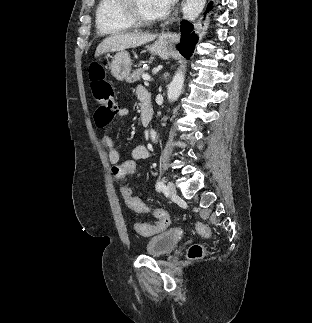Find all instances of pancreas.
<instances>
[{
  "label": "pancreas",
  "mask_w": 312,
  "mask_h": 323,
  "mask_svg": "<svg viewBox=\"0 0 312 323\" xmlns=\"http://www.w3.org/2000/svg\"><path fill=\"white\" fill-rule=\"evenodd\" d=\"M145 74L144 68H138L136 72H133V74H130L129 78H127L126 82H129V84H134V82H137V80H140L141 76Z\"/></svg>",
  "instance_id": "cf45deb5"
}]
</instances>
